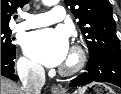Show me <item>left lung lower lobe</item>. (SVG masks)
Returning <instances> with one entry per match:
<instances>
[{
  "mask_svg": "<svg viewBox=\"0 0 121 94\" xmlns=\"http://www.w3.org/2000/svg\"><path fill=\"white\" fill-rule=\"evenodd\" d=\"M86 70L73 79L69 86L77 87L97 81L109 82L121 87V54L90 56Z\"/></svg>",
  "mask_w": 121,
  "mask_h": 94,
  "instance_id": "1",
  "label": "left lung lower lobe"
}]
</instances>
